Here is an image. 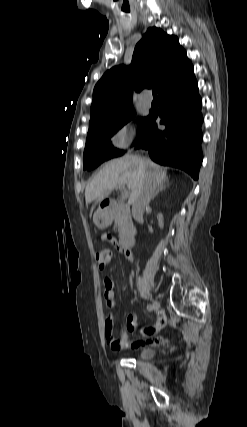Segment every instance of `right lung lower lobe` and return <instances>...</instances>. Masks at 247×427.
Returning <instances> with one entry per match:
<instances>
[{"label":"right lung lower lobe","instance_id":"right-lung-lower-lobe-1","mask_svg":"<svg viewBox=\"0 0 247 427\" xmlns=\"http://www.w3.org/2000/svg\"><path fill=\"white\" fill-rule=\"evenodd\" d=\"M201 105L191 67L159 94V110L150 113L144 137L137 148L147 149L153 161L183 169L197 180L203 160ZM157 118L165 125V130H158Z\"/></svg>","mask_w":247,"mask_h":427}]
</instances>
